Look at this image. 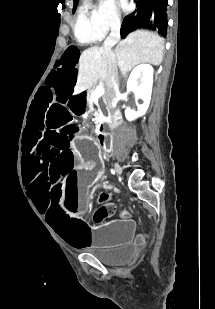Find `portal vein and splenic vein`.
I'll use <instances>...</instances> for the list:
<instances>
[{
    "mask_svg": "<svg viewBox=\"0 0 215 309\" xmlns=\"http://www.w3.org/2000/svg\"><path fill=\"white\" fill-rule=\"evenodd\" d=\"M93 94H95V96H102V94H104L103 86H96Z\"/></svg>",
    "mask_w": 215,
    "mask_h": 309,
    "instance_id": "portal-vein-and-splenic-vein-1",
    "label": "portal vein and splenic vein"
}]
</instances>
